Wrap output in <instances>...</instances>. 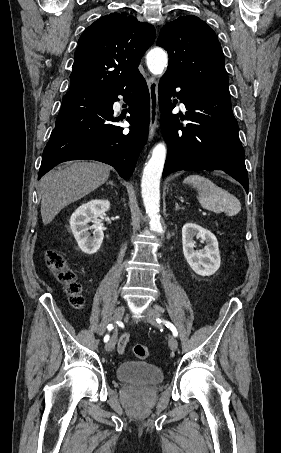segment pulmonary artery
<instances>
[{
    "label": "pulmonary artery",
    "instance_id": "obj_1",
    "mask_svg": "<svg viewBox=\"0 0 281 453\" xmlns=\"http://www.w3.org/2000/svg\"><path fill=\"white\" fill-rule=\"evenodd\" d=\"M120 105H121V100H119V99L115 100L114 103H113L114 110H116V111L119 110L120 109Z\"/></svg>",
    "mask_w": 281,
    "mask_h": 453
}]
</instances>
